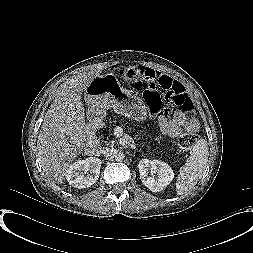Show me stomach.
<instances>
[{
	"label": "stomach",
	"mask_w": 253,
	"mask_h": 253,
	"mask_svg": "<svg viewBox=\"0 0 253 253\" xmlns=\"http://www.w3.org/2000/svg\"><path fill=\"white\" fill-rule=\"evenodd\" d=\"M111 78L113 82L109 85ZM102 81L107 85L103 86ZM84 95L85 101L93 109L113 108L115 112L135 120L146 118L144 102L136 95L124 93L112 74L97 76L85 89Z\"/></svg>",
	"instance_id": "0dacf381"
}]
</instances>
